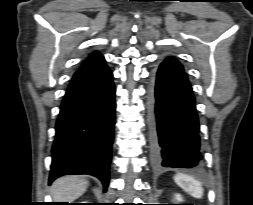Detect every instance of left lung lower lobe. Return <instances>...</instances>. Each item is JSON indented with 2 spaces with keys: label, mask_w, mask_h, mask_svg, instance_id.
<instances>
[{
  "label": "left lung lower lobe",
  "mask_w": 253,
  "mask_h": 205,
  "mask_svg": "<svg viewBox=\"0 0 253 205\" xmlns=\"http://www.w3.org/2000/svg\"><path fill=\"white\" fill-rule=\"evenodd\" d=\"M153 162L162 167L197 168L201 159L195 98L183 66L166 58L149 95Z\"/></svg>",
  "instance_id": "0a47b994"
}]
</instances>
